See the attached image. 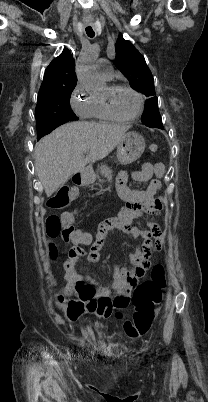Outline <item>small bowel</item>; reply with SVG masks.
I'll list each match as a JSON object with an SVG mask.
<instances>
[{
  "instance_id": "small-bowel-1",
  "label": "small bowel",
  "mask_w": 208,
  "mask_h": 402,
  "mask_svg": "<svg viewBox=\"0 0 208 402\" xmlns=\"http://www.w3.org/2000/svg\"><path fill=\"white\" fill-rule=\"evenodd\" d=\"M165 173V167L161 162L152 164L145 162L139 170L132 172L121 171L116 180L118 194L125 201V206L119 213L120 221H100L98 231L94 232L96 241L89 253V260H99V251L106 241L107 232H114L116 228L123 230L131 239L142 240L143 247L133 252L130 256L131 268H115L110 273L112 290L118 294L112 301L116 307H124L128 303V295L131 293L137 279L143 277L149 267L150 258L153 252L164 242L165 233L152 220L145 218V214H159L164 207V199L156 198L155 195L160 188V179ZM139 183L149 182L144 189H130L129 179ZM141 218L145 221L148 229H141L131 224L133 219ZM106 230V231H105ZM79 242L92 241V237H79ZM65 267V280L68 281V295L76 294L81 299L94 297H108L109 290L94 287V281L83 274L79 267ZM99 316V315H97ZM102 317V316H99ZM75 324L80 323L81 318L75 315L71 318ZM67 327H74V324H67Z\"/></svg>"
}]
</instances>
